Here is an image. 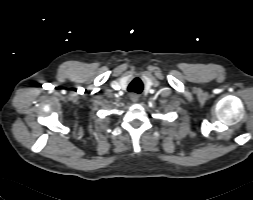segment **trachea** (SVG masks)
Listing matches in <instances>:
<instances>
[{
  "label": "trachea",
  "mask_w": 253,
  "mask_h": 200,
  "mask_svg": "<svg viewBox=\"0 0 253 200\" xmlns=\"http://www.w3.org/2000/svg\"><path fill=\"white\" fill-rule=\"evenodd\" d=\"M142 89H143L142 82L138 78L134 79L128 87V91L135 93H140Z\"/></svg>",
  "instance_id": "trachea-1"
}]
</instances>
